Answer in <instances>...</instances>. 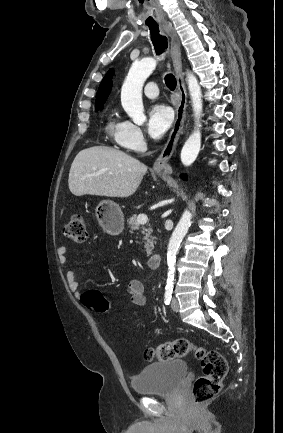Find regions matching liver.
<instances>
[{
    "mask_svg": "<svg viewBox=\"0 0 283 433\" xmlns=\"http://www.w3.org/2000/svg\"><path fill=\"white\" fill-rule=\"evenodd\" d=\"M147 172L146 164L111 146H90L76 154L69 188L76 196H131Z\"/></svg>",
    "mask_w": 283,
    "mask_h": 433,
    "instance_id": "liver-1",
    "label": "liver"
}]
</instances>
